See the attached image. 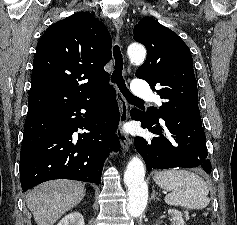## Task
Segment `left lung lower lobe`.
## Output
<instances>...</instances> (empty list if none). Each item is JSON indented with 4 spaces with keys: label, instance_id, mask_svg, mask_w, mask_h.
I'll return each instance as SVG.
<instances>
[{
    "label": "left lung lower lobe",
    "instance_id": "left-lung-lower-lobe-1",
    "mask_svg": "<svg viewBox=\"0 0 237 225\" xmlns=\"http://www.w3.org/2000/svg\"><path fill=\"white\" fill-rule=\"evenodd\" d=\"M133 120L141 121L142 128L156 137H136L135 148L143 157L147 170L174 167H201L211 173V163L206 149L205 133L202 127L198 105H190L177 112L153 119L138 109L130 111Z\"/></svg>",
    "mask_w": 237,
    "mask_h": 225
}]
</instances>
